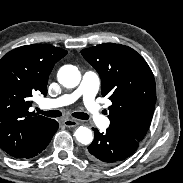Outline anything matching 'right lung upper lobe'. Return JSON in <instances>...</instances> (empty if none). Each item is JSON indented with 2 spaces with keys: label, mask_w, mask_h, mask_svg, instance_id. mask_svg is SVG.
Wrapping results in <instances>:
<instances>
[{
  "label": "right lung upper lobe",
  "mask_w": 183,
  "mask_h": 183,
  "mask_svg": "<svg viewBox=\"0 0 183 183\" xmlns=\"http://www.w3.org/2000/svg\"><path fill=\"white\" fill-rule=\"evenodd\" d=\"M67 51L33 44L16 48L0 60V147L14 158L29 155L52 120L30 112L34 92L44 96L54 64Z\"/></svg>",
  "instance_id": "right-lung-upper-lobe-1"
}]
</instances>
